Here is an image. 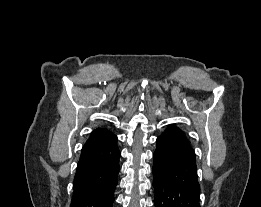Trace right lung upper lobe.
<instances>
[{"label":"right lung upper lobe","instance_id":"1","mask_svg":"<svg viewBox=\"0 0 261 207\" xmlns=\"http://www.w3.org/2000/svg\"><path fill=\"white\" fill-rule=\"evenodd\" d=\"M114 136L115 135L107 129L97 128L91 133L83 148L96 145Z\"/></svg>","mask_w":261,"mask_h":207}]
</instances>
